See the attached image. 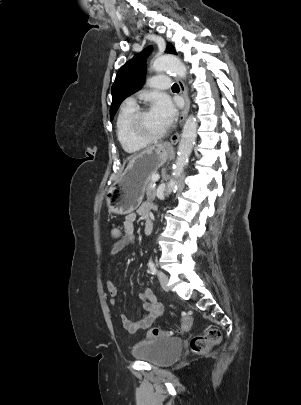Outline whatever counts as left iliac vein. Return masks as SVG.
<instances>
[{
    "label": "left iliac vein",
    "instance_id": "left-iliac-vein-1",
    "mask_svg": "<svg viewBox=\"0 0 301 405\" xmlns=\"http://www.w3.org/2000/svg\"><path fill=\"white\" fill-rule=\"evenodd\" d=\"M157 275H158V279H159V281H160V284H161L162 288H163L165 291H168V290H169V287H168V276H167L164 272H162V271H158V272H157Z\"/></svg>",
    "mask_w": 301,
    "mask_h": 405
}]
</instances>
